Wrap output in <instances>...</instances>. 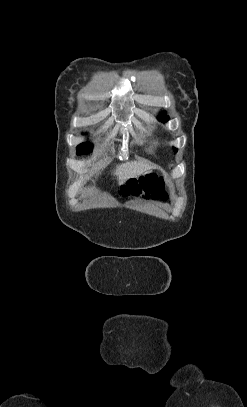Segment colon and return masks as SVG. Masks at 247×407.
<instances>
[{"label": "colon", "instance_id": "5ec220e1", "mask_svg": "<svg viewBox=\"0 0 247 407\" xmlns=\"http://www.w3.org/2000/svg\"><path fill=\"white\" fill-rule=\"evenodd\" d=\"M120 191L123 195H141L147 199L166 200L168 198L163 178L153 174L128 181Z\"/></svg>", "mask_w": 247, "mask_h": 407}]
</instances>
